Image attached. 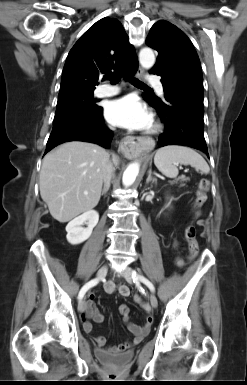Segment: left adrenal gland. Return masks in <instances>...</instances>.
Listing matches in <instances>:
<instances>
[{"label":"left adrenal gland","mask_w":247,"mask_h":385,"mask_svg":"<svg viewBox=\"0 0 247 385\" xmlns=\"http://www.w3.org/2000/svg\"><path fill=\"white\" fill-rule=\"evenodd\" d=\"M149 182H151L152 184L156 183V179L153 178L152 175H151V168L149 169V172H148V177L146 179V184H148Z\"/></svg>","instance_id":"1"}]
</instances>
